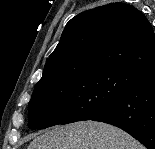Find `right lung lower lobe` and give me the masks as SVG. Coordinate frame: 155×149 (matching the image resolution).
I'll return each mask as SVG.
<instances>
[{
  "mask_svg": "<svg viewBox=\"0 0 155 149\" xmlns=\"http://www.w3.org/2000/svg\"><path fill=\"white\" fill-rule=\"evenodd\" d=\"M90 120L117 126L147 149H155V74L146 76Z\"/></svg>",
  "mask_w": 155,
  "mask_h": 149,
  "instance_id": "98d812e1",
  "label": "right lung lower lobe"
}]
</instances>
